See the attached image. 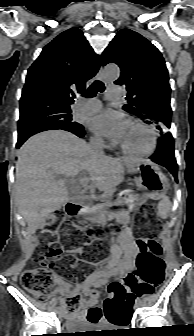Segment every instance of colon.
<instances>
[{
	"instance_id": "colon-1",
	"label": "colon",
	"mask_w": 194,
	"mask_h": 336,
	"mask_svg": "<svg viewBox=\"0 0 194 336\" xmlns=\"http://www.w3.org/2000/svg\"><path fill=\"white\" fill-rule=\"evenodd\" d=\"M151 204H146L137 217L136 230L143 234L138 240V256L134 279L128 281L131 287L133 284H144L147 289L158 286L164 277V265L160 260L162 248L160 244L152 239L161 230L160 221L151 214ZM71 224L66 219L63 211H56L45 218L38 229V235L42 244L41 257L59 258L63 253L62 240L66 242V249L70 253H79L83 256V263H88L100 254L103 243L100 239H91L88 235L85 239L71 233ZM59 264H52L47 267L30 269L23 273L21 281L23 287L37 300L45 301L53 287L60 281L55 269ZM111 299L105 302L104 310L108 320L112 323L118 322L114 317L116 309L113 303L118 297L132 299L135 292L119 281H113L108 285ZM81 297L78 294L67 296L63 299L62 305L67 314H74L79 309Z\"/></svg>"
}]
</instances>
